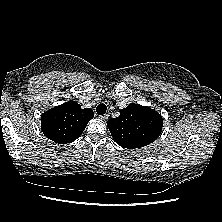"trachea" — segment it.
I'll return each instance as SVG.
<instances>
[{
	"label": "trachea",
	"instance_id": "trachea-1",
	"mask_svg": "<svg viewBox=\"0 0 222 222\" xmlns=\"http://www.w3.org/2000/svg\"><path fill=\"white\" fill-rule=\"evenodd\" d=\"M106 110H107V107L103 103H100L96 108L97 114L99 115H104L106 113Z\"/></svg>",
	"mask_w": 222,
	"mask_h": 222
}]
</instances>
